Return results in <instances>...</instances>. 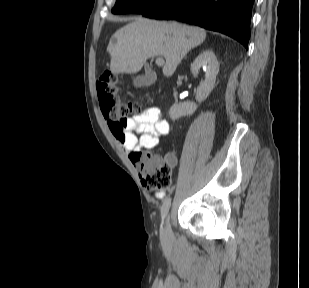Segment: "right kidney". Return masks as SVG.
<instances>
[{
    "label": "right kidney",
    "mask_w": 309,
    "mask_h": 288,
    "mask_svg": "<svg viewBox=\"0 0 309 288\" xmlns=\"http://www.w3.org/2000/svg\"><path fill=\"white\" fill-rule=\"evenodd\" d=\"M201 67H206L205 80L202 81L197 89L195 99L201 103L204 101L215 86L216 77L219 72V63L213 51H203L191 64V72L194 76L198 74ZM197 109L194 102L175 103L171 106L169 115L172 120L179 119L183 116L192 115Z\"/></svg>",
    "instance_id": "right-kidney-1"
}]
</instances>
